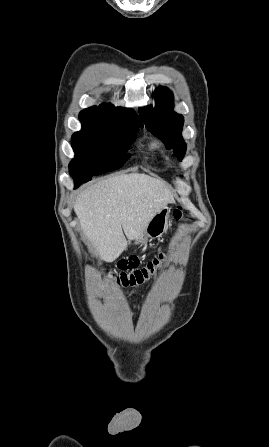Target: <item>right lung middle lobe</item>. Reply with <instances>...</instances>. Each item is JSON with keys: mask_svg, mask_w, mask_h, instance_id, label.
<instances>
[{"mask_svg": "<svg viewBox=\"0 0 269 447\" xmlns=\"http://www.w3.org/2000/svg\"><path fill=\"white\" fill-rule=\"evenodd\" d=\"M82 130L73 134L75 157L69 164L73 178L85 182L92 176L114 171L130 157L127 153L142 125H105L81 121Z\"/></svg>", "mask_w": 269, "mask_h": 447, "instance_id": "1", "label": "right lung middle lobe"}]
</instances>
